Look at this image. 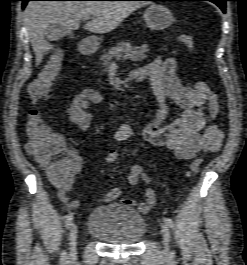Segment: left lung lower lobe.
Segmentation results:
<instances>
[{"instance_id": "obj_1", "label": "left lung lower lobe", "mask_w": 247, "mask_h": 265, "mask_svg": "<svg viewBox=\"0 0 247 265\" xmlns=\"http://www.w3.org/2000/svg\"><path fill=\"white\" fill-rule=\"evenodd\" d=\"M149 1H204V0H149ZM215 3L217 6L221 8V10L225 13L226 12V4L225 2L228 0H207Z\"/></svg>"}]
</instances>
